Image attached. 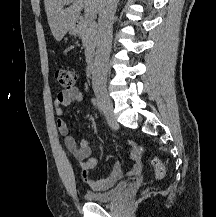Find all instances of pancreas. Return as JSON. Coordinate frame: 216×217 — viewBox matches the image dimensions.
<instances>
[{
  "label": "pancreas",
  "mask_w": 216,
  "mask_h": 217,
  "mask_svg": "<svg viewBox=\"0 0 216 217\" xmlns=\"http://www.w3.org/2000/svg\"><path fill=\"white\" fill-rule=\"evenodd\" d=\"M77 34L83 42L85 55L88 58L94 51L97 40V25L95 21L81 19L77 26Z\"/></svg>",
  "instance_id": "cf45deb5"
}]
</instances>
